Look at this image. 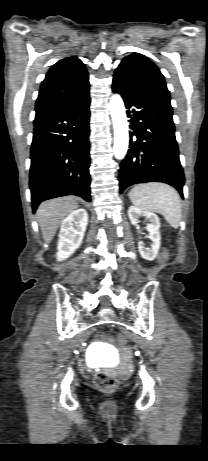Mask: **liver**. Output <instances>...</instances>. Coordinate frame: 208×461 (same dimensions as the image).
<instances>
[{"mask_svg": "<svg viewBox=\"0 0 208 461\" xmlns=\"http://www.w3.org/2000/svg\"><path fill=\"white\" fill-rule=\"evenodd\" d=\"M78 208L76 198L68 196L45 201L37 209L36 216L44 241L49 244L62 220Z\"/></svg>", "mask_w": 208, "mask_h": 461, "instance_id": "obj_1", "label": "liver"}]
</instances>
